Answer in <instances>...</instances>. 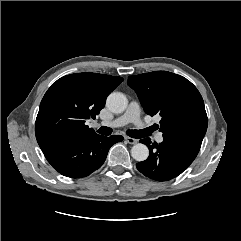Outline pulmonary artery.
Listing matches in <instances>:
<instances>
[{
    "instance_id": "pulmonary-artery-1",
    "label": "pulmonary artery",
    "mask_w": 241,
    "mask_h": 241,
    "mask_svg": "<svg viewBox=\"0 0 241 241\" xmlns=\"http://www.w3.org/2000/svg\"><path fill=\"white\" fill-rule=\"evenodd\" d=\"M140 115H141V109L139 104L137 102H131L126 112L123 115L105 124L112 127H119V126H124L128 123H134L135 125L141 127L143 126V122L141 121ZM155 140L158 143L163 142L164 138L162 133L158 132L155 135Z\"/></svg>"
}]
</instances>
